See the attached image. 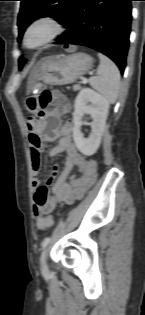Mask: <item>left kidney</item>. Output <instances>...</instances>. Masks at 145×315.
<instances>
[{
    "label": "left kidney",
    "instance_id": "left-kidney-1",
    "mask_svg": "<svg viewBox=\"0 0 145 315\" xmlns=\"http://www.w3.org/2000/svg\"><path fill=\"white\" fill-rule=\"evenodd\" d=\"M108 110L109 102L90 88L82 89L77 95L73 112V139L82 154L91 156L99 148ZM85 114H89L93 118L91 134L88 138H84L81 133L82 118Z\"/></svg>",
    "mask_w": 145,
    "mask_h": 315
}]
</instances>
